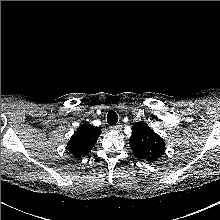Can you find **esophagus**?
<instances>
[{
  "instance_id": "esophagus-1",
  "label": "esophagus",
  "mask_w": 220,
  "mask_h": 220,
  "mask_svg": "<svg viewBox=\"0 0 220 220\" xmlns=\"http://www.w3.org/2000/svg\"><path fill=\"white\" fill-rule=\"evenodd\" d=\"M122 128H123V126H122L121 124H117V125H112V126H110V129H111V130L117 131V132L121 131Z\"/></svg>"
}]
</instances>
